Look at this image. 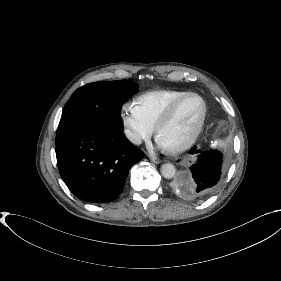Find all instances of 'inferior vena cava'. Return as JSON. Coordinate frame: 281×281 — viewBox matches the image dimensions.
I'll return each mask as SVG.
<instances>
[{"mask_svg":"<svg viewBox=\"0 0 281 281\" xmlns=\"http://www.w3.org/2000/svg\"><path fill=\"white\" fill-rule=\"evenodd\" d=\"M125 134L132 143L141 144V137L138 134L133 133L130 130H126Z\"/></svg>","mask_w":281,"mask_h":281,"instance_id":"obj_1","label":"inferior vena cava"}]
</instances>
